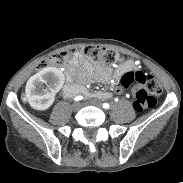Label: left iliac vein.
<instances>
[{
	"label": "left iliac vein",
	"instance_id": "obj_1",
	"mask_svg": "<svg viewBox=\"0 0 183 183\" xmlns=\"http://www.w3.org/2000/svg\"><path fill=\"white\" fill-rule=\"evenodd\" d=\"M89 104L94 105L96 107H101V104L97 100H92V101L89 102Z\"/></svg>",
	"mask_w": 183,
	"mask_h": 183
}]
</instances>
